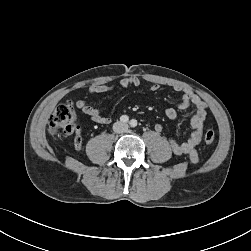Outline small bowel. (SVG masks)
Here are the masks:
<instances>
[{
    "instance_id": "1",
    "label": "small bowel",
    "mask_w": 251,
    "mask_h": 251,
    "mask_svg": "<svg viewBox=\"0 0 251 251\" xmlns=\"http://www.w3.org/2000/svg\"><path fill=\"white\" fill-rule=\"evenodd\" d=\"M141 84V80L136 76H129L122 78L118 85L114 84H98L92 85L89 88V94H101L112 92L115 90L129 89L132 87H138ZM160 86L158 84H153L150 86L151 92H157ZM175 90L177 92L182 93L181 101L178 105L180 110H189L190 108L194 109V114L191 118V132L187 139L179 140L175 138L170 139V146L172 151L176 155H187L191 162L196 163L198 161V154L196 147L201 141L204 121L206 118V103L194 92L189 89L176 87ZM77 108L89 116V118L98 124H109L111 122V117L104 116L103 112L105 110L104 106L93 107L87 104L83 100H79L76 102ZM165 115L170 120H176L178 118V113L174 108H166ZM155 130L157 132L162 131V126L160 124L155 125ZM75 147L79 149L81 147V142Z\"/></svg>"
}]
</instances>
